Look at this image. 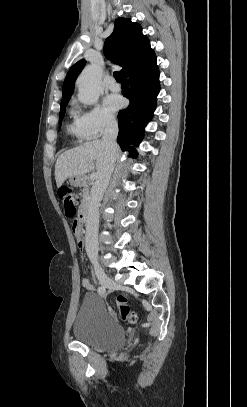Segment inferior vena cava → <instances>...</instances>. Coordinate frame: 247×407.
Returning a JSON list of instances; mask_svg holds the SVG:
<instances>
[{"instance_id": "inferior-vena-cava-1", "label": "inferior vena cava", "mask_w": 247, "mask_h": 407, "mask_svg": "<svg viewBox=\"0 0 247 407\" xmlns=\"http://www.w3.org/2000/svg\"><path fill=\"white\" fill-rule=\"evenodd\" d=\"M117 135V122L115 120L107 121L104 135L102 137V143L108 151V160L102 173L97 177V180L92 187L86 221L85 249L92 263H97L99 205L114 170L118 148L116 143Z\"/></svg>"}]
</instances>
